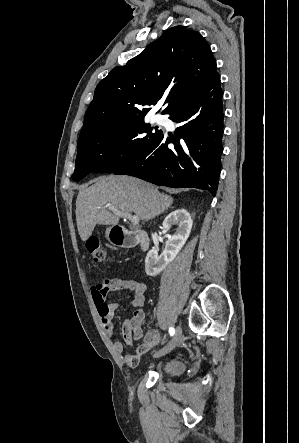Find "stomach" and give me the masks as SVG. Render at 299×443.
Segmentation results:
<instances>
[{
  "instance_id": "1",
  "label": "stomach",
  "mask_w": 299,
  "mask_h": 443,
  "mask_svg": "<svg viewBox=\"0 0 299 443\" xmlns=\"http://www.w3.org/2000/svg\"><path fill=\"white\" fill-rule=\"evenodd\" d=\"M110 232H111V228L106 230V238L110 240Z\"/></svg>"
}]
</instances>
